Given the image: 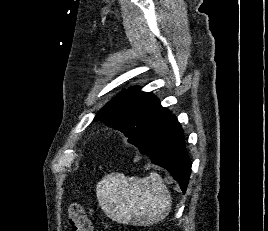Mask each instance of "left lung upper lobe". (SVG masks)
I'll list each match as a JSON object with an SVG mask.
<instances>
[{"label":"left lung upper lobe","mask_w":268,"mask_h":231,"mask_svg":"<svg viewBox=\"0 0 268 231\" xmlns=\"http://www.w3.org/2000/svg\"><path fill=\"white\" fill-rule=\"evenodd\" d=\"M170 113L153 94L134 87L108 102L93 121H102L123 132L135 144L146 139Z\"/></svg>","instance_id":"obj_1"}]
</instances>
